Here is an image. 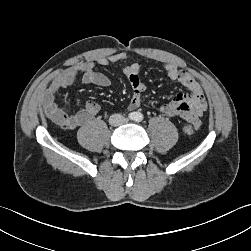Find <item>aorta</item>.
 I'll list each match as a JSON object with an SVG mask.
<instances>
[{"mask_svg": "<svg viewBox=\"0 0 251 251\" xmlns=\"http://www.w3.org/2000/svg\"><path fill=\"white\" fill-rule=\"evenodd\" d=\"M142 119H143V115L141 113H139V112H136L134 120L135 121H141Z\"/></svg>", "mask_w": 251, "mask_h": 251, "instance_id": "aorta-1", "label": "aorta"}]
</instances>
